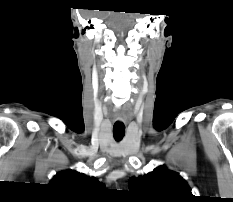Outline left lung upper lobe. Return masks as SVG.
<instances>
[{"instance_id": "obj_1", "label": "left lung upper lobe", "mask_w": 233, "mask_h": 202, "mask_svg": "<svg viewBox=\"0 0 233 202\" xmlns=\"http://www.w3.org/2000/svg\"><path fill=\"white\" fill-rule=\"evenodd\" d=\"M129 189L146 202H189L194 197L186 181L164 165L145 176L131 177Z\"/></svg>"}]
</instances>
